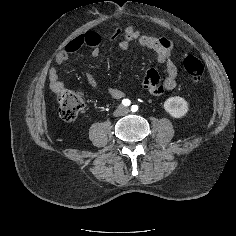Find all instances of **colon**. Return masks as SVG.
<instances>
[{
  "instance_id": "5ec220e1",
  "label": "colon",
  "mask_w": 236,
  "mask_h": 236,
  "mask_svg": "<svg viewBox=\"0 0 236 236\" xmlns=\"http://www.w3.org/2000/svg\"><path fill=\"white\" fill-rule=\"evenodd\" d=\"M183 67L185 72L193 79H199L204 73L203 63L194 56L185 58ZM59 115L64 121L75 120L85 109L86 100L82 93L61 87L57 92Z\"/></svg>"
}]
</instances>
